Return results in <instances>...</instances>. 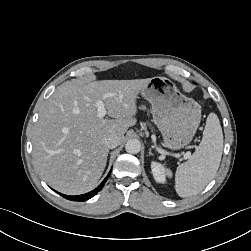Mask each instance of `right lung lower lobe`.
Segmentation results:
<instances>
[{"label":"right lung lower lobe","mask_w":251,"mask_h":251,"mask_svg":"<svg viewBox=\"0 0 251 251\" xmlns=\"http://www.w3.org/2000/svg\"><path fill=\"white\" fill-rule=\"evenodd\" d=\"M111 171L109 172V174L107 175V177L103 180V182L93 191L88 192L86 194H82V195H78V196H68V195H64L59 193L61 196H63L64 198L71 200V201H85L88 200L90 198H92L93 196H95L104 186L105 182L107 181L108 177L110 176Z\"/></svg>","instance_id":"98d812e1"}]
</instances>
